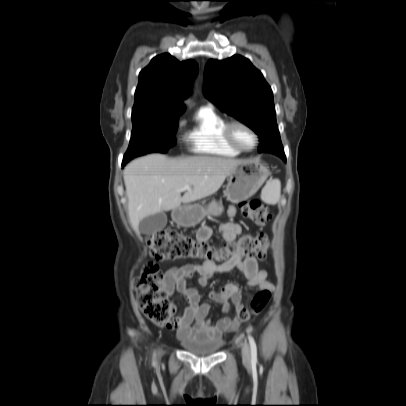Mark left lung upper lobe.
Here are the masks:
<instances>
[{"instance_id":"obj_1","label":"left lung upper lobe","mask_w":406,"mask_h":406,"mask_svg":"<svg viewBox=\"0 0 406 406\" xmlns=\"http://www.w3.org/2000/svg\"><path fill=\"white\" fill-rule=\"evenodd\" d=\"M203 93L259 135L260 152L285 155L272 90L248 59L240 55L222 61L210 59L205 67Z\"/></svg>"}]
</instances>
